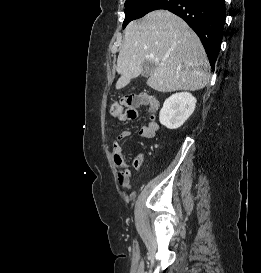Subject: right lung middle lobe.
<instances>
[{
    "mask_svg": "<svg viewBox=\"0 0 261 273\" xmlns=\"http://www.w3.org/2000/svg\"><path fill=\"white\" fill-rule=\"evenodd\" d=\"M153 2L154 0H126L125 20L123 22V28H125L130 21L143 17L146 13L142 6L150 5Z\"/></svg>",
    "mask_w": 261,
    "mask_h": 273,
    "instance_id": "right-lung-middle-lobe-1",
    "label": "right lung middle lobe"
}]
</instances>
